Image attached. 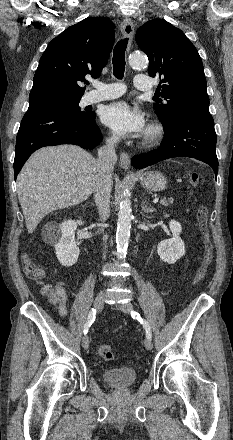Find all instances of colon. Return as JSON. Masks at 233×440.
<instances>
[{"label": "colon", "mask_w": 233, "mask_h": 440, "mask_svg": "<svg viewBox=\"0 0 233 440\" xmlns=\"http://www.w3.org/2000/svg\"><path fill=\"white\" fill-rule=\"evenodd\" d=\"M189 182L192 186H198L200 184V176L197 172H193L189 176ZM197 222L199 226L200 233L204 238V252L201 264L196 271L193 279V285L199 284L206 276L208 269L213 260V244L209 237V229L207 225L208 221V209L205 205H199L197 209ZM22 265L26 275L34 281H39L44 278V270L34 263L31 258L24 254L22 256ZM99 355L104 360H113L115 355L113 349L109 345H101L98 349Z\"/></svg>", "instance_id": "obj_1"}]
</instances>
